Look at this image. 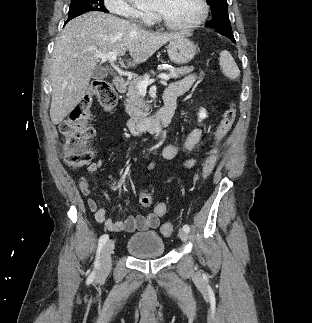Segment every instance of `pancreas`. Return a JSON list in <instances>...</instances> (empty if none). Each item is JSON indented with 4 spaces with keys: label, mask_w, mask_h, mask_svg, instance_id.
I'll return each mask as SVG.
<instances>
[{
    "label": "pancreas",
    "mask_w": 312,
    "mask_h": 323,
    "mask_svg": "<svg viewBox=\"0 0 312 323\" xmlns=\"http://www.w3.org/2000/svg\"><path fill=\"white\" fill-rule=\"evenodd\" d=\"M193 70L194 68L184 66V68L169 70L166 74L168 78L177 80V78H181V76L190 74ZM144 80H149L148 76H139V78H136V80H132V82H128L127 84L128 94L124 106H126V114H129L131 120H134V122H143V120H147L148 112L150 110L149 106H147V102L144 100L143 94H141L137 88L138 82H144Z\"/></svg>",
    "instance_id": "cf45deb5"
}]
</instances>
